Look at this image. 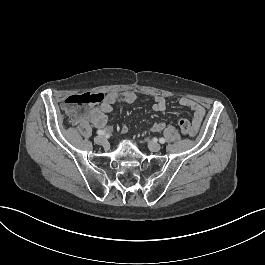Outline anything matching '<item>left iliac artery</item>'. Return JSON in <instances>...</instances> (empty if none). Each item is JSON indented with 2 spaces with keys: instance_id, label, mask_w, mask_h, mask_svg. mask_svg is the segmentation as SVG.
<instances>
[{
  "instance_id": "left-iliac-artery-1",
  "label": "left iliac artery",
  "mask_w": 265,
  "mask_h": 265,
  "mask_svg": "<svg viewBox=\"0 0 265 265\" xmlns=\"http://www.w3.org/2000/svg\"><path fill=\"white\" fill-rule=\"evenodd\" d=\"M159 142H160L161 144H164V143H165V139H164V138H160V139H159Z\"/></svg>"
}]
</instances>
